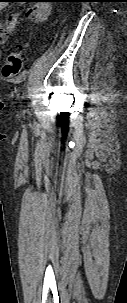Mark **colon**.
Masks as SVG:
<instances>
[{
  "label": "colon",
  "mask_w": 127,
  "mask_h": 303,
  "mask_svg": "<svg viewBox=\"0 0 127 303\" xmlns=\"http://www.w3.org/2000/svg\"><path fill=\"white\" fill-rule=\"evenodd\" d=\"M22 65H23L22 54L19 51L11 52L8 55L5 65L3 67V71H2L3 76L5 78H12L16 76L20 72Z\"/></svg>",
  "instance_id": "obj_1"
}]
</instances>
